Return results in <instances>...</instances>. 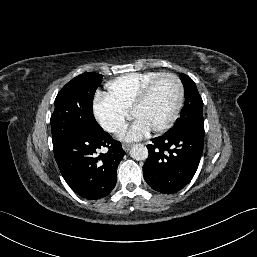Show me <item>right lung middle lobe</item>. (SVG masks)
Segmentation results:
<instances>
[{
    "label": "right lung middle lobe",
    "instance_id": "dd1d6c3e",
    "mask_svg": "<svg viewBox=\"0 0 257 257\" xmlns=\"http://www.w3.org/2000/svg\"><path fill=\"white\" fill-rule=\"evenodd\" d=\"M102 77L83 73L60 90L50 119L53 144L72 135L92 137L104 132L93 115V98Z\"/></svg>",
    "mask_w": 257,
    "mask_h": 257
}]
</instances>
